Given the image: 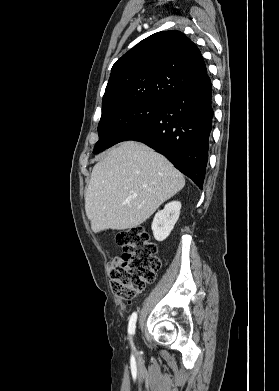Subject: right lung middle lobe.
I'll return each instance as SVG.
<instances>
[{"instance_id":"right-lung-middle-lobe-1","label":"right lung middle lobe","mask_w":279,"mask_h":391,"mask_svg":"<svg viewBox=\"0 0 279 391\" xmlns=\"http://www.w3.org/2000/svg\"><path fill=\"white\" fill-rule=\"evenodd\" d=\"M162 102L142 101L123 105L102 113L98 124L97 154L124 140L135 129L149 123L161 109Z\"/></svg>"}]
</instances>
